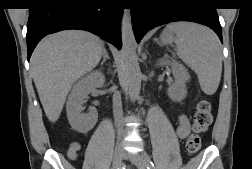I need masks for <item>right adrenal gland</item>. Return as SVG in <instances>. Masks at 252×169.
Instances as JSON below:
<instances>
[{"mask_svg":"<svg viewBox=\"0 0 252 169\" xmlns=\"http://www.w3.org/2000/svg\"><path fill=\"white\" fill-rule=\"evenodd\" d=\"M107 59H109V54H108L106 48L104 47V49H103V60L101 62V66H103V64L106 62Z\"/></svg>","mask_w":252,"mask_h":169,"instance_id":"right-adrenal-gland-1","label":"right adrenal gland"}]
</instances>
